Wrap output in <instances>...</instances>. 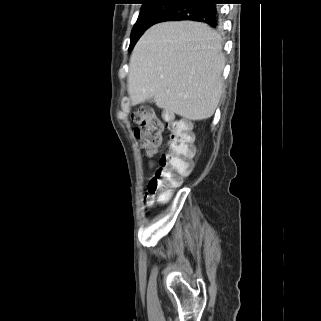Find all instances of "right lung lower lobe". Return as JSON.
<instances>
[{"label": "right lung lower lobe", "instance_id": "obj_1", "mask_svg": "<svg viewBox=\"0 0 321 321\" xmlns=\"http://www.w3.org/2000/svg\"><path fill=\"white\" fill-rule=\"evenodd\" d=\"M218 3L219 0H186L175 4L162 14L159 22L192 20L204 22L216 28L219 26L220 18L219 9L216 6Z\"/></svg>", "mask_w": 321, "mask_h": 321}]
</instances>
